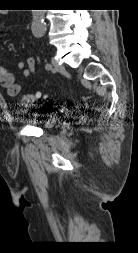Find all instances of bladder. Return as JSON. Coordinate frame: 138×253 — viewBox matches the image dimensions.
I'll list each match as a JSON object with an SVG mask.
<instances>
[{
  "label": "bladder",
  "instance_id": "1",
  "mask_svg": "<svg viewBox=\"0 0 138 253\" xmlns=\"http://www.w3.org/2000/svg\"><path fill=\"white\" fill-rule=\"evenodd\" d=\"M58 123V119L55 117H49L44 120H39V121H34L32 122L33 126L44 129V130H49L54 128Z\"/></svg>",
  "mask_w": 138,
  "mask_h": 253
}]
</instances>
